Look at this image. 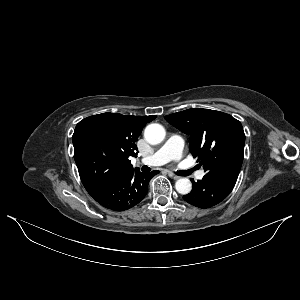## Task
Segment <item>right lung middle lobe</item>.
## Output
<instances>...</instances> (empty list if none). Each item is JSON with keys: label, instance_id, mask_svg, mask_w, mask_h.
Instances as JSON below:
<instances>
[{"label": "right lung middle lobe", "instance_id": "obj_1", "mask_svg": "<svg viewBox=\"0 0 300 300\" xmlns=\"http://www.w3.org/2000/svg\"><path fill=\"white\" fill-rule=\"evenodd\" d=\"M72 140L74 159L84 186L123 175L120 161L95 125L79 122Z\"/></svg>", "mask_w": 300, "mask_h": 300}]
</instances>
